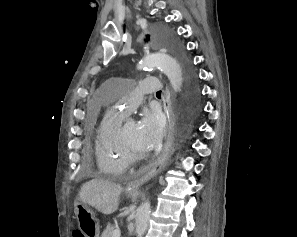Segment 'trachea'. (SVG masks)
I'll return each mask as SVG.
<instances>
[{"label":"trachea","instance_id":"1","mask_svg":"<svg viewBox=\"0 0 297 237\" xmlns=\"http://www.w3.org/2000/svg\"><path fill=\"white\" fill-rule=\"evenodd\" d=\"M156 95H161V91H158V92L156 93Z\"/></svg>","mask_w":297,"mask_h":237}]
</instances>
